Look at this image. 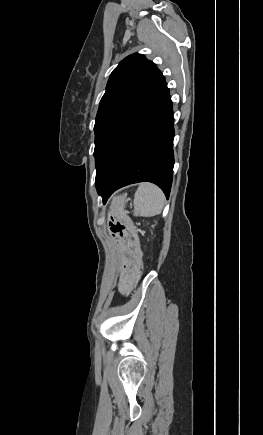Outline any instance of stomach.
<instances>
[{
    "instance_id": "obj_1",
    "label": "stomach",
    "mask_w": 263,
    "mask_h": 435,
    "mask_svg": "<svg viewBox=\"0 0 263 435\" xmlns=\"http://www.w3.org/2000/svg\"><path fill=\"white\" fill-rule=\"evenodd\" d=\"M128 199L126 194L118 195L113 199L111 205V216H105V225H108V233H112L115 246L120 247L126 262H131L132 268H119V277H137L138 262H141V239L137 232V225L134 224V216H128L127 208H124ZM121 288H138V279H121ZM128 296V293H125Z\"/></svg>"
}]
</instances>
